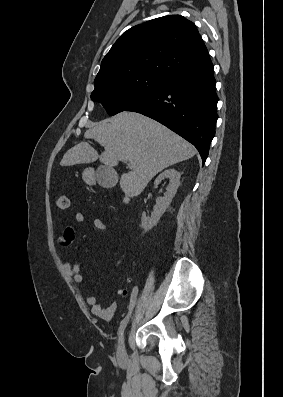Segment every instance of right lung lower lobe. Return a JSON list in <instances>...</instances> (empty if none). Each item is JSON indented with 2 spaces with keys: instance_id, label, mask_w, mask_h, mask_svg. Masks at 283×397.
I'll return each mask as SVG.
<instances>
[{
  "instance_id": "1",
  "label": "right lung lower lobe",
  "mask_w": 283,
  "mask_h": 397,
  "mask_svg": "<svg viewBox=\"0 0 283 397\" xmlns=\"http://www.w3.org/2000/svg\"><path fill=\"white\" fill-rule=\"evenodd\" d=\"M212 62L180 72L126 111L146 115L192 143L202 163L208 156L218 118Z\"/></svg>"
}]
</instances>
